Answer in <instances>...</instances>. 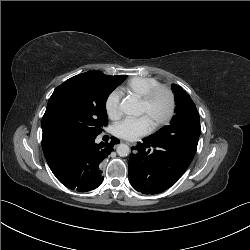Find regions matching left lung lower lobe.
Returning a JSON list of instances; mask_svg holds the SVG:
<instances>
[{
	"label": "left lung lower lobe",
	"instance_id": "left-lung-lower-lobe-1",
	"mask_svg": "<svg viewBox=\"0 0 250 250\" xmlns=\"http://www.w3.org/2000/svg\"><path fill=\"white\" fill-rule=\"evenodd\" d=\"M201 132L200 123L177 127L173 134L150 135L132 147L129 181L143 194L161 193L175 184L190 165Z\"/></svg>",
	"mask_w": 250,
	"mask_h": 250
}]
</instances>
